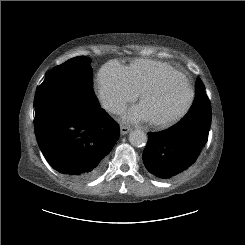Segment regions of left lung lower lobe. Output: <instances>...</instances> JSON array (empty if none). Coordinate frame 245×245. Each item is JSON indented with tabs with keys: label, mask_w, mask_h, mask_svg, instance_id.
Returning a JSON list of instances; mask_svg holds the SVG:
<instances>
[{
	"label": "left lung lower lobe",
	"mask_w": 245,
	"mask_h": 245,
	"mask_svg": "<svg viewBox=\"0 0 245 245\" xmlns=\"http://www.w3.org/2000/svg\"><path fill=\"white\" fill-rule=\"evenodd\" d=\"M209 126L175 124L167 130L148 133L149 141L143 152L144 165L161 179L178 176L200 156L208 140Z\"/></svg>",
	"instance_id": "0a47b994"
}]
</instances>
